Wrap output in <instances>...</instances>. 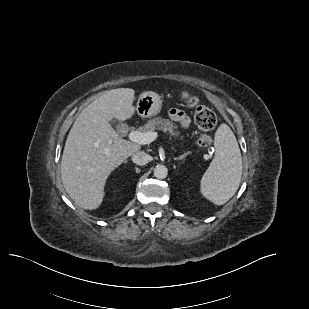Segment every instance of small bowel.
<instances>
[{"mask_svg": "<svg viewBox=\"0 0 309 309\" xmlns=\"http://www.w3.org/2000/svg\"><path fill=\"white\" fill-rule=\"evenodd\" d=\"M171 118L180 124L182 128H187L190 124L189 117L179 109H172L170 111Z\"/></svg>", "mask_w": 309, "mask_h": 309, "instance_id": "1", "label": "small bowel"}]
</instances>
